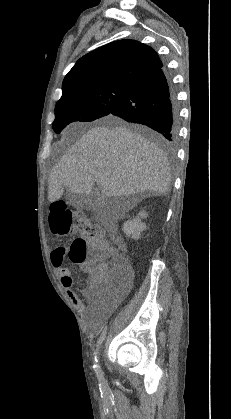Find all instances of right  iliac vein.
I'll return each instance as SVG.
<instances>
[{
	"mask_svg": "<svg viewBox=\"0 0 231 419\" xmlns=\"http://www.w3.org/2000/svg\"><path fill=\"white\" fill-rule=\"evenodd\" d=\"M97 354H99V348H98Z\"/></svg>",
	"mask_w": 231,
	"mask_h": 419,
	"instance_id": "63e3f726",
	"label": "right iliac vein"
}]
</instances>
